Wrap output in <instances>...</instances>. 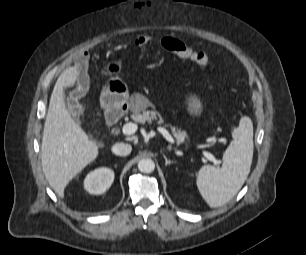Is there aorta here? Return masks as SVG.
Here are the masks:
<instances>
[{"instance_id": "1", "label": "aorta", "mask_w": 306, "mask_h": 255, "mask_svg": "<svg viewBox=\"0 0 306 255\" xmlns=\"http://www.w3.org/2000/svg\"><path fill=\"white\" fill-rule=\"evenodd\" d=\"M138 169L142 173H151L155 169V163L150 158L141 159L138 162Z\"/></svg>"}]
</instances>
